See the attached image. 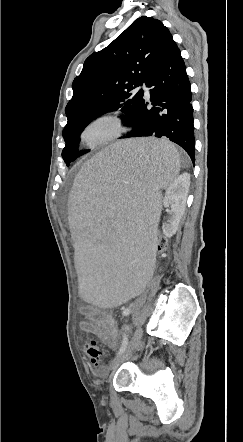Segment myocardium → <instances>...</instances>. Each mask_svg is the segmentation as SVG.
Instances as JSON below:
<instances>
[{
  "instance_id": "f54148a6",
  "label": "myocardium",
  "mask_w": 243,
  "mask_h": 442,
  "mask_svg": "<svg viewBox=\"0 0 243 442\" xmlns=\"http://www.w3.org/2000/svg\"><path fill=\"white\" fill-rule=\"evenodd\" d=\"M110 122L113 125V131L105 138L96 141L94 143H89L85 140V133L89 127L99 122ZM126 131V124L123 116L118 111H107L100 113L90 120H88L80 129L79 141L86 147L94 149L106 145L119 137H121Z\"/></svg>"
}]
</instances>
